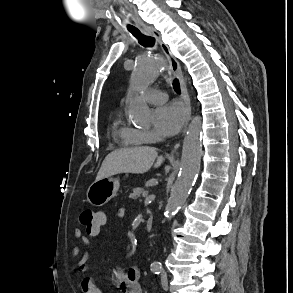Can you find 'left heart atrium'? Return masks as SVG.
<instances>
[{"instance_id": "left-heart-atrium-1", "label": "left heart atrium", "mask_w": 293, "mask_h": 293, "mask_svg": "<svg viewBox=\"0 0 293 293\" xmlns=\"http://www.w3.org/2000/svg\"><path fill=\"white\" fill-rule=\"evenodd\" d=\"M185 118V108L178 102H171L155 110V128L162 136H172L179 131Z\"/></svg>"}]
</instances>
